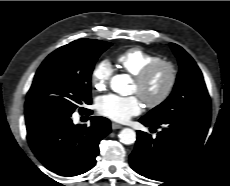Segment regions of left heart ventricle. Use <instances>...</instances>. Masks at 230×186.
Wrapping results in <instances>:
<instances>
[{
  "instance_id": "obj_1",
  "label": "left heart ventricle",
  "mask_w": 230,
  "mask_h": 186,
  "mask_svg": "<svg viewBox=\"0 0 230 186\" xmlns=\"http://www.w3.org/2000/svg\"><path fill=\"white\" fill-rule=\"evenodd\" d=\"M168 75L165 70L158 71L143 87L142 94L148 99L156 98L164 89ZM137 85L134 83L133 91L137 92Z\"/></svg>"
}]
</instances>
